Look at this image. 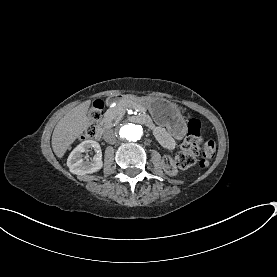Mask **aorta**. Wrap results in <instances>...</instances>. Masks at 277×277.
<instances>
[{"instance_id":"762f6f07","label":"aorta","mask_w":277,"mask_h":277,"mask_svg":"<svg viewBox=\"0 0 277 277\" xmlns=\"http://www.w3.org/2000/svg\"><path fill=\"white\" fill-rule=\"evenodd\" d=\"M144 130L141 125L128 121L121 123L117 128V136L120 140L134 142L141 139Z\"/></svg>"}]
</instances>
